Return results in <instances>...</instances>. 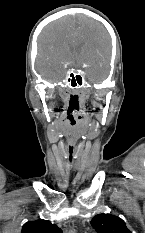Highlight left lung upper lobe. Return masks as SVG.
<instances>
[{
    "label": "left lung upper lobe",
    "instance_id": "1",
    "mask_svg": "<svg viewBox=\"0 0 145 233\" xmlns=\"http://www.w3.org/2000/svg\"><path fill=\"white\" fill-rule=\"evenodd\" d=\"M91 225L97 233H131L122 219L111 214L96 215L92 219Z\"/></svg>",
    "mask_w": 145,
    "mask_h": 233
}]
</instances>
